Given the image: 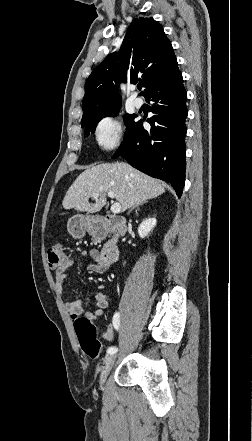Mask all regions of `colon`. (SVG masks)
I'll return each instance as SVG.
<instances>
[{
  "instance_id": "colon-1",
  "label": "colon",
  "mask_w": 252,
  "mask_h": 441,
  "mask_svg": "<svg viewBox=\"0 0 252 441\" xmlns=\"http://www.w3.org/2000/svg\"><path fill=\"white\" fill-rule=\"evenodd\" d=\"M48 263L51 269H57L63 265L67 255L62 245L55 244L48 249ZM74 328L83 352L90 358L95 359L100 356V343L96 338V328L94 324L85 317H79L74 322Z\"/></svg>"
}]
</instances>
